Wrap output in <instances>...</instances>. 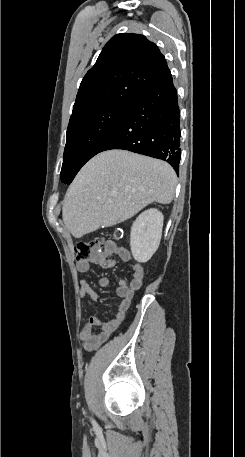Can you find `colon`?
Segmentation results:
<instances>
[{"instance_id": "5ec220e1", "label": "colon", "mask_w": 245, "mask_h": 457, "mask_svg": "<svg viewBox=\"0 0 245 457\" xmlns=\"http://www.w3.org/2000/svg\"><path fill=\"white\" fill-rule=\"evenodd\" d=\"M115 237L116 239H121L123 237L122 231H116ZM102 249V240L100 238H92L76 243L74 252L78 261H84L97 256L101 253Z\"/></svg>"}]
</instances>
